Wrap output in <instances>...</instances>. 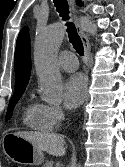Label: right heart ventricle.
I'll use <instances>...</instances> for the list:
<instances>
[{
    "instance_id": "1",
    "label": "right heart ventricle",
    "mask_w": 125,
    "mask_h": 167,
    "mask_svg": "<svg viewBox=\"0 0 125 167\" xmlns=\"http://www.w3.org/2000/svg\"><path fill=\"white\" fill-rule=\"evenodd\" d=\"M23 123L38 131H50L54 125L48 118L46 104L29 100L23 112Z\"/></svg>"
}]
</instances>
